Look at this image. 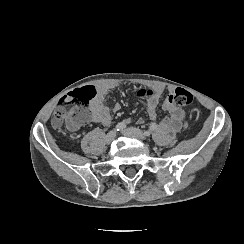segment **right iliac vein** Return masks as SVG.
Masks as SVG:
<instances>
[{
    "instance_id": "obj_1",
    "label": "right iliac vein",
    "mask_w": 244,
    "mask_h": 244,
    "mask_svg": "<svg viewBox=\"0 0 244 244\" xmlns=\"http://www.w3.org/2000/svg\"><path fill=\"white\" fill-rule=\"evenodd\" d=\"M116 137V132L115 131H110L106 137H105V142L107 144H111L113 142V140L115 139Z\"/></svg>"
}]
</instances>
